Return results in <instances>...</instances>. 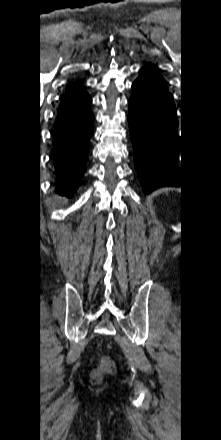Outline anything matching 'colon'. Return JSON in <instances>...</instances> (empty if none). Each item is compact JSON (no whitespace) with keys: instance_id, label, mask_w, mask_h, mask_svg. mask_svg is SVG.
<instances>
[{"instance_id":"obj_1","label":"colon","mask_w":221,"mask_h":440,"mask_svg":"<svg viewBox=\"0 0 221 440\" xmlns=\"http://www.w3.org/2000/svg\"><path fill=\"white\" fill-rule=\"evenodd\" d=\"M113 371H114V364L108 357L103 356L100 365L92 372L91 375L92 381L97 383L104 376L113 373Z\"/></svg>"}]
</instances>
